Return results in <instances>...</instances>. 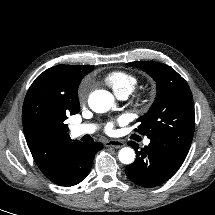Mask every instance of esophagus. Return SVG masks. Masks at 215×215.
<instances>
[{"label": "esophagus", "instance_id": "1", "mask_svg": "<svg viewBox=\"0 0 215 215\" xmlns=\"http://www.w3.org/2000/svg\"><path fill=\"white\" fill-rule=\"evenodd\" d=\"M105 146L114 147V148H121V147L125 146V143L121 140H108L105 142Z\"/></svg>", "mask_w": 215, "mask_h": 215}]
</instances>
